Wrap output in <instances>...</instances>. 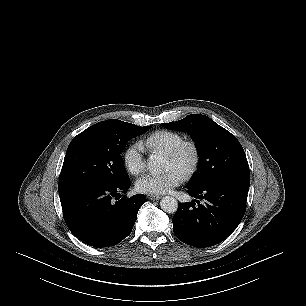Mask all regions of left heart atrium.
<instances>
[{
    "label": "left heart atrium",
    "mask_w": 306,
    "mask_h": 306,
    "mask_svg": "<svg viewBox=\"0 0 306 306\" xmlns=\"http://www.w3.org/2000/svg\"><path fill=\"white\" fill-rule=\"evenodd\" d=\"M184 176L176 169H170L162 174H146L136 182L138 191L150 195H159L170 192L179 186Z\"/></svg>",
    "instance_id": "1"
}]
</instances>
